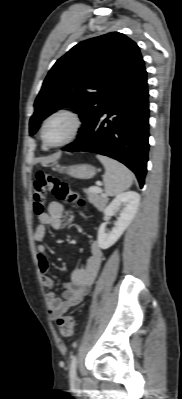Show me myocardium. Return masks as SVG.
Segmentation results:
<instances>
[{
	"label": "myocardium",
	"instance_id": "myocardium-1",
	"mask_svg": "<svg viewBox=\"0 0 182 399\" xmlns=\"http://www.w3.org/2000/svg\"><path fill=\"white\" fill-rule=\"evenodd\" d=\"M59 116L67 117L72 121V124H73L72 130H71L69 136L64 141H62L58 144H50L46 140V135H45L46 127L52 119L59 117ZM82 128H83V120H82L81 116L79 115V113L77 111H75L74 109H71L68 107H62V108L56 109L55 111L50 113L45 118V120L43 121V124H42V128H41V138L46 147L58 148V147H62L64 145H67L70 142L74 141L79 136Z\"/></svg>",
	"mask_w": 182,
	"mask_h": 399
}]
</instances>
